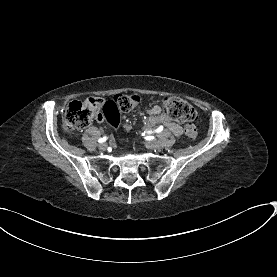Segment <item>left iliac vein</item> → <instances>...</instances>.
<instances>
[{"label": "left iliac vein", "mask_w": 277, "mask_h": 277, "mask_svg": "<svg viewBox=\"0 0 277 277\" xmlns=\"http://www.w3.org/2000/svg\"><path fill=\"white\" fill-rule=\"evenodd\" d=\"M145 146L150 150H155L160 148V143L157 140H151L146 142Z\"/></svg>", "instance_id": "4c4485c4"}]
</instances>
